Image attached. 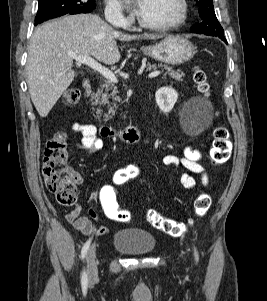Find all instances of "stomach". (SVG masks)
Returning <instances> with one entry per match:
<instances>
[{"instance_id": "1", "label": "stomach", "mask_w": 267, "mask_h": 301, "mask_svg": "<svg viewBox=\"0 0 267 301\" xmlns=\"http://www.w3.org/2000/svg\"><path fill=\"white\" fill-rule=\"evenodd\" d=\"M142 50L145 55L171 65L189 61L196 54V47L188 39L179 36H168L160 43Z\"/></svg>"}]
</instances>
